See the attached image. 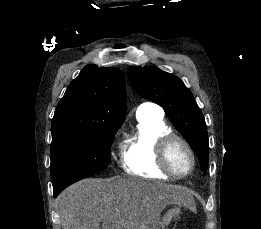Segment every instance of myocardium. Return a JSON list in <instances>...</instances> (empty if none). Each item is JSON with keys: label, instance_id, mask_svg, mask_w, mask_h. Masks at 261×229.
I'll use <instances>...</instances> for the list:
<instances>
[{"label": "myocardium", "instance_id": "myocardium-1", "mask_svg": "<svg viewBox=\"0 0 261 229\" xmlns=\"http://www.w3.org/2000/svg\"><path fill=\"white\" fill-rule=\"evenodd\" d=\"M177 144H181L187 150L190 157V167L185 172L176 171L170 161L171 149ZM158 159L165 172L174 178L189 176L193 172L196 164L195 154L189 142L175 134L164 136L160 140L158 145Z\"/></svg>", "mask_w": 261, "mask_h": 229}]
</instances>
